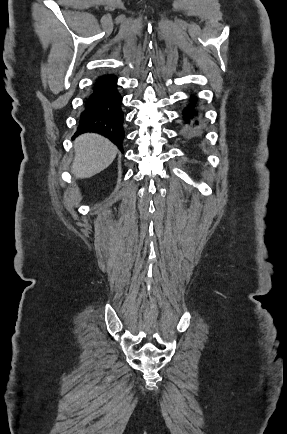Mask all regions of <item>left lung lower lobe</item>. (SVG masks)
Here are the masks:
<instances>
[{
  "mask_svg": "<svg viewBox=\"0 0 287 434\" xmlns=\"http://www.w3.org/2000/svg\"><path fill=\"white\" fill-rule=\"evenodd\" d=\"M196 98H191V103L183 111V121L186 127V134L189 137H194L197 134L199 125V112L195 107Z\"/></svg>",
  "mask_w": 287,
  "mask_h": 434,
  "instance_id": "obj_1",
  "label": "left lung lower lobe"
}]
</instances>
